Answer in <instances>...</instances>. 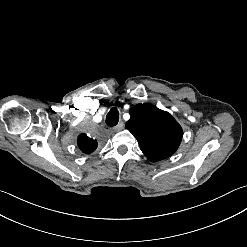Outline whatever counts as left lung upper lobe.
Segmentation results:
<instances>
[{"mask_svg": "<svg viewBox=\"0 0 247 247\" xmlns=\"http://www.w3.org/2000/svg\"><path fill=\"white\" fill-rule=\"evenodd\" d=\"M129 113L125 127L136 137L148 159L160 161L177 150L183 131L171 114L149 103L135 105Z\"/></svg>", "mask_w": 247, "mask_h": 247, "instance_id": "left-lung-upper-lobe-1", "label": "left lung upper lobe"}]
</instances>
